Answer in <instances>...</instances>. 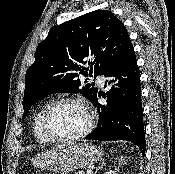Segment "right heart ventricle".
<instances>
[{
    "mask_svg": "<svg viewBox=\"0 0 175 174\" xmlns=\"http://www.w3.org/2000/svg\"><path fill=\"white\" fill-rule=\"evenodd\" d=\"M49 104L42 105L33 120V133L39 143H49L51 140L45 135L42 128V117Z\"/></svg>",
    "mask_w": 175,
    "mask_h": 174,
    "instance_id": "1",
    "label": "right heart ventricle"
}]
</instances>
